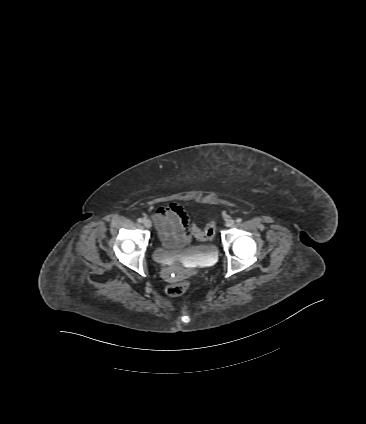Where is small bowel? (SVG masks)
Listing matches in <instances>:
<instances>
[{"mask_svg": "<svg viewBox=\"0 0 366 424\" xmlns=\"http://www.w3.org/2000/svg\"><path fill=\"white\" fill-rule=\"evenodd\" d=\"M163 243L168 247L183 246L188 241L186 213L177 203L158 207L151 216Z\"/></svg>", "mask_w": 366, "mask_h": 424, "instance_id": "obj_1", "label": "small bowel"}]
</instances>
